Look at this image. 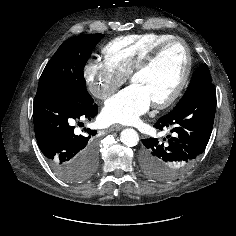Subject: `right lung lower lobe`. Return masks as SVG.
<instances>
[{"mask_svg":"<svg viewBox=\"0 0 236 236\" xmlns=\"http://www.w3.org/2000/svg\"><path fill=\"white\" fill-rule=\"evenodd\" d=\"M98 113L93 102H76L51 95L35 96L33 120L38 146L52 168L65 180L77 182L79 168L98 154L96 130L78 133L75 123Z\"/></svg>","mask_w":236,"mask_h":236,"instance_id":"obj_1","label":"right lung lower lobe"}]
</instances>
